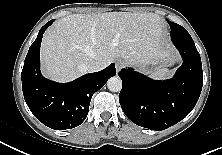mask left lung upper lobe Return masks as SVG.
<instances>
[{
	"label": "left lung upper lobe",
	"instance_id": "obj_1",
	"mask_svg": "<svg viewBox=\"0 0 222 155\" xmlns=\"http://www.w3.org/2000/svg\"><path fill=\"white\" fill-rule=\"evenodd\" d=\"M169 25H170V26H173V25H176V23H174V22H169Z\"/></svg>",
	"mask_w": 222,
	"mask_h": 155
}]
</instances>
